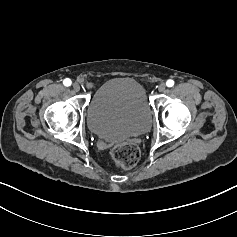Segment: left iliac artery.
<instances>
[{
  "label": "left iliac artery",
  "instance_id": "obj_1",
  "mask_svg": "<svg viewBox=\"0 0 237 237\" xmlns=\"http://www.w3.org/2000/svg\"><path fill=\"white\" fill-rule=\"evenodd\" d=\"M166 85H167L168 87H172V86L174 85V81L171 80V79H169V80L166 82Z\"/></svg>",
  "mask_w": 237,
  "mask_h": 237
}]
</instances>
